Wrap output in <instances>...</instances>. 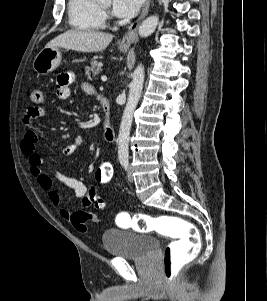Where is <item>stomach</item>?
<instances>
[{
	"mask_svg": "<svg viewBox=\"0 0 267 301\" xmlns=\"http://www.w3.org/2000/svg\"><path fill=\"white\" fill-rule=\"evenodd\" d=\"M129 46H119V50L126 52ZM61 63V53L58 47L44 48L38 53L33 62L34 70L40 75H47L54 71Z\"/></svg>",
	"mask_w": 267,
	"mask_h": 301,
	"instance_id": "1",
	"label": "stomach"
}]
</instances>
